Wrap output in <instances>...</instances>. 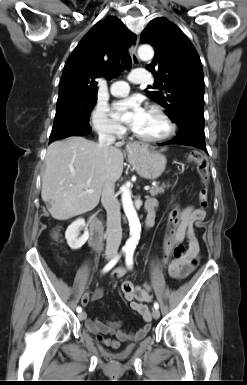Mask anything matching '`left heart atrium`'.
<instances>
[{
    "label": "left heart atrium",
    "instance_id": "1",
    "mask_svg": "<svg viewBox=\"0 0 247 385\" xmlns=\"http://www.w3.org/2000/svg\"><path fill=\"white\" fill-rule=\"evenodd\" d=\"M113 110L114 116L118 119H122L124 115L128 113V121L133 128L141 122L146 113V110L142 107L140 101L135 98L117 102L114 105Z\"/></svg>",
    "mask_w": 247,
    "mask_h": 385
}]
</instances>
